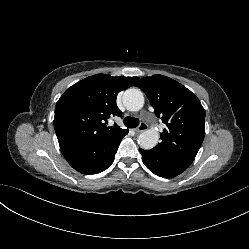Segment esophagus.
<instances>
[{
    "label": "esophagus",
    "instance_id": "1",
    "mask_svg": "<svg viewBox=\"0 0 249 249\" xmlns=\"http://www.w3.org/2000/svg\"><path fill=\"white\" fill-rule=\"evenodd\" d=\"M148 128V125L144 122H142L136 129L135 132L136 133H141L143 131H145Z\"/></svg>",
    "mask_w": 249,
    "mask_h": 249
}]
</instances>
